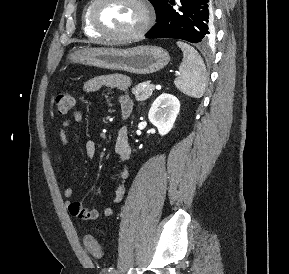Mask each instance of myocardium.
Wrapping results in <instances>:
<instances>
[{"instance_id":"obj_1","label":"myocardium","mask_w":289,"mask_h":274,"mask_svg":"<svg viewBox=\"0 0 289 274\" xmlns=\"http://www.w3.org/2000/svg\"><path fill=\"white\" fill-rule=\"evenodd\" d=\"M105 1L106 0H93L89 9L90 25L100 36H103L105 38H108L110 40H115V41H132V40H136L142 37L147 32L151 23V15H150L149 8L144 0H132L140 7L142 11L143 19L138 29H136L133 32L126 33V34H117V33L109 32L105 30L104 28H102L97 22L96 10L98 6L104 3Z\"/></svg>"}]
</instances>
